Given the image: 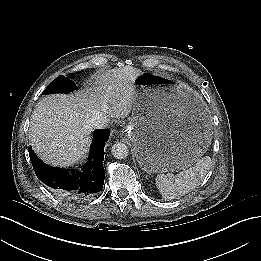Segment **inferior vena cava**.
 <instances>
[{"label":"inferior vena cava","instance_id":"obj_1","mask_svg":"<svg viewBox=\"0 0 261 261\" xmlns=\"http://www.w3.org/2000/svg\"><path fill=\"white\" fill-rule=\"evenodd\" d=\"M111 118L103 112H96L90 118L91 125L96 128H105L108 126Z\"/></svg>","mask_w":261,"mask_h":261}]
</instances>
